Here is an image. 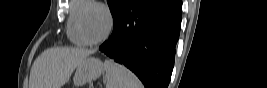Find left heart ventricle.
<instances>
[{
    "instance_id": "b2bd125f",
    "label": "left heart ventricle",
    "mask_w": 267,
    "mask_h": 88,
    "mask_svg": "<svg viewBox=\"0 0 267 88\" xmlns=\"http://www.w3.org/2000/svg\"><path fill=\"white\" fill-rule=\"evenodd\" d=\"M83 27L87 37L91 40L101 38L107 27V18L98 8L89 9L83 19Z\"/></svg>"
}]
</instances>
